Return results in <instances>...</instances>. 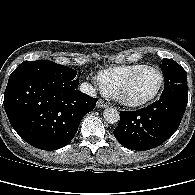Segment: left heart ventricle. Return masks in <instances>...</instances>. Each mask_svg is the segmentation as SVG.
<instances>
[{"label": "left heart ventricle", "mask_w": 195, "mask_h": 195, "mask_svg": "<svg viewBox=\"0 0 195 195\" xmlns=\"http://www.w3.org/2000/svg\"><path fill=\"white\" fill-rule=\"evenodd\" d=\"M159 75L153 70H144L131 83L127 96L133 100L144 99L152 95L159 85Z\"/></svg>", "instance_id": "b2bd125f"}]
</instances>
